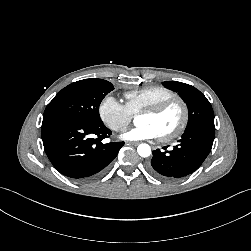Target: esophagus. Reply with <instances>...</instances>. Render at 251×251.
<instances>
[{
    "label": "esophagus",
    "instance_id": "1",
    "mask_svg": "<svg viewBox=\"0 0 251 251\" xmlns=\"http://www.w3.org/2000/svg\"><path fill=\"white\" fill-rule=\"evenodd\" d=\"M126 144L137 146L139 144V142H137V141H127Z\"/></svg>",
    "mask_w": 251,
    "mask_h": 251
}]
</instances>
